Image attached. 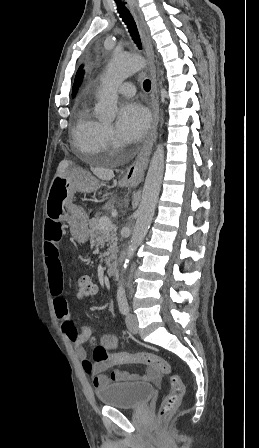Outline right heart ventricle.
Masks as SVG:
<instances>
[{"label":"right heart ventricle","mask_w":259,"mask_h":448,"mask_svg":"<svg viewBox=\"0 0 259 448\" xmlns=\"http://www.w3.org/2000/svg\"><path fill=\"white\" fill-rule=\"evenodd\" d=\"M104 123L92 110L91 101H82L76 111L73 136L76 145L85 150L76 156H81V163H101L104 160L101 148V133Z\"/></svg>","instance_id":"obj_1"}]
</instances>
